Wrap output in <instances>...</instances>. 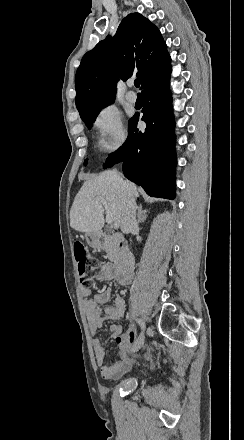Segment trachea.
<instances>
[{
	"label": "trachea",
	"instance_id": "3493384b",
	"mask_svg": "<svg viewBox=\"0 0 244 440\" xmlns=\"http://www.w3.org/2000/svg\"><path fill=\"white\" fill-rule=\"evenodd\" d=\"M134 85H135V87L138 88L140 86V80H135Z\"/></svg>",
	"mask_w": 244,
	"mask_h": 440
}]
</instances>
